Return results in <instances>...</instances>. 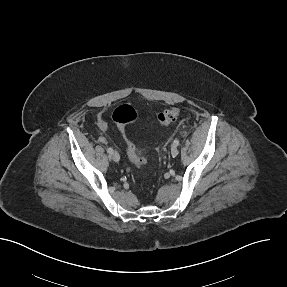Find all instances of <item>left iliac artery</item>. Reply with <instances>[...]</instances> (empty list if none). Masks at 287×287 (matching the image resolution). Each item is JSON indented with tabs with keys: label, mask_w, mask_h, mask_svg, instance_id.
<instances>
[{
	"label": "left iliac artery",
	"mask_w": 287,
	"mask_h": 287,
	"mask_svg": "<svg viewBox=\"0 0 287 287\" xmlns=\"http://www.w3.org/2000/svg\"><path fill=\"white\" fill-rule=\"evenodd\" d=\"M173 144L176 145V146H178V145H179V140H178V139H175L174 142H173Z\"/></svg>",
	"instance_id": "left-iliac-artery-1"
}]
</instances>
